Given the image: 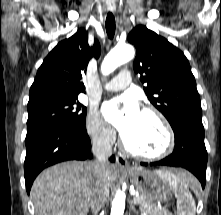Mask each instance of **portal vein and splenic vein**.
<instances>
[{
    "label": "portal vein and splenic vein",
    "instance_id": "obj_1",
    "mask_svg": "<svg viewBox=\"0 0 221 215\" xmlns=\"http://www.w3.org/2000/svg\"><path fill=\"white\" fill-rule=\"evenodd\" d=\"M133 202H134L135 204H138V203L140 202V199H139V198L134 197V198H133Z\"/></svg>",
    "mask_w": 221,
    "mask_h": 215
}]
</instances>
